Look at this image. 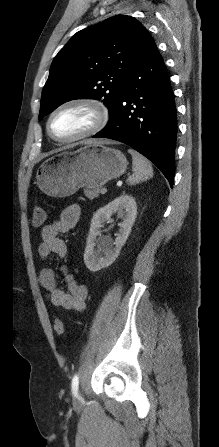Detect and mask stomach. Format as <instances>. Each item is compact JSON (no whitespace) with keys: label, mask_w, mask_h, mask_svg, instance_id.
Segmentation results:
<instances>
[{"label":"stomach","mask_w":219,"mask_h":447,"mask_svg":"<svg viewBox=\"0 0 219 447\" xmlns=\"http://www.w3.org/2000/svg\"><path fill=\"white\" fill-rule=\"evenodd\" d=\"M126 167L121 151L90 142L76 151H65L45 160L37 170L36 180L46 195L66 197L81 187H100L116 179Z\"/></svg>","instance_id":"0dacf381"}]
</instances>
